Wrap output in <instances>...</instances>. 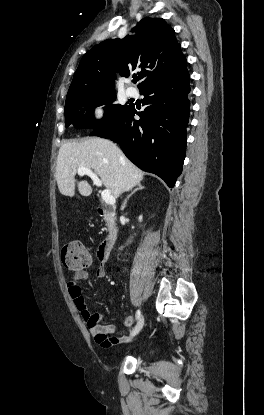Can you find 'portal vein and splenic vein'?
<instances>
[{"mask_svg": "<svg viewBox=\"0 0 264 415\" xmlns=\"http://www.w3.org/2000/svg\"><path fill=\"white\" fill-rule=\"evenodd\" d=\"M77 173L80 176L88 175L93 180V183L97 187L102 186L101 180L91 169L82 167L78 169ZM101 196H102V199L109 205H114L116 202L115 197L111 194V192L108 189L103 190L101 193Z\"/></svg>", "mask_w": 264, "mask_h": 415, "instance_id": "portal-vein-and-splenic-vein-1", "label": "portal vein and splenic vein"}]
</instances>
